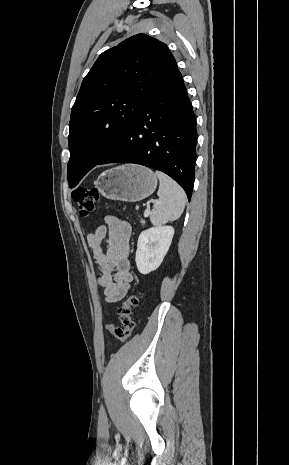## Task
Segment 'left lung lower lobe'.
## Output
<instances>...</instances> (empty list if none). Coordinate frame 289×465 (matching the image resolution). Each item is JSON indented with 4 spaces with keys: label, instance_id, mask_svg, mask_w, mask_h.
I'll return each instance as SVG.
<instances>
[{
    "label": "left lung lower lobe",
    "instance_id": "1",
    "mask_svg": "<svg viewBox=\"0 0 289 465\" xmlns=\"http://www.w3.org/2000/svg\"><path fill=\"white\" fill-rule=\"evenodd\" d=\"M196 119L179 70L145 98L114 147L96 164L135 163L173 178L190 201L195 173Z\"/></svg>",
    "mask_w": 289,
    "mask_h": 465
}]
</instances>
